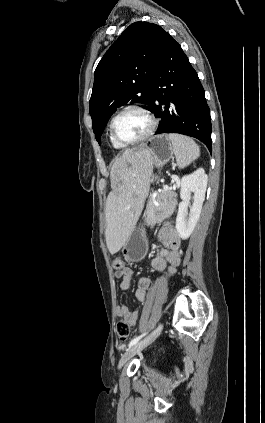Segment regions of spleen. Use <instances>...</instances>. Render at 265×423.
<instances>
[{
	"label": "spleen",
	"instance_id": "obj_1",
	"mask_svg": "<svg viewBox=\"0 0 265 423\" xmlns=\"http://www.w3.org/2000/svg\"><path fill=\"white\" fill-rule=\"evenodd\" d=\"M168 138L172 143L177 166L180 169L187 167L199 157L200 148L193 139L174 133H170Z\"/></svg>",
	"mask_w": 265,
	"mask_h": 423
}]
</instances>
